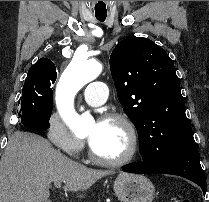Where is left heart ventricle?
Listing matches in <instances>:
<instances>
[{
	"label": "left heart ventricle",
	"instance_id": "1",
	"mask_svg": "<svg viewBox=\"0 0 209 202\" xmlns=\"http://www.w3.org/2000/svg\"><path fill=\"white\" fill-rule=\"evenodd\" d=\"M87 136L96 153L104 158H121L126 155L130 147L126 128L116 121H100L92 124Z\"/></svg>",
	"mask_w": 209,
	"mask_h": 202
}]
</instances>
